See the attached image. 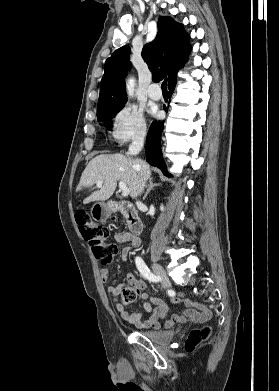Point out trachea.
<instances>
[{
  "label": "trachea",
  "mask_w": 279,
  "mask_h": 391,
  "mask_svg": "<svg viewBox=\"0 0 279 391\" xmlns=\"http://www.w3.org/2000/svg\"><path fill=\"white\" fill-rule=\"evenodd\" d=\"M161 89L162 91L167 92V79L162 82Z\"/></svg>",
  "instance_id": "trachea-1"
}]
</instances>
